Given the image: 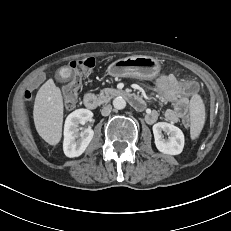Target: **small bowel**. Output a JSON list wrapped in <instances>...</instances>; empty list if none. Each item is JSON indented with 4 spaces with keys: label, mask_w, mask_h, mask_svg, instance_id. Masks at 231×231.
I'll return each mask as SVG.
<instances>
[{
    "label": "small bowel",
    "mask_w": 231,
    "mask_h": 231,
    "mask_svg": "<svg viewBox=\"0 0 231 231\" xmlns=\"http://www.w3.org/2000/svg\"><path fill=\"white\" fill-rule=\"evenodd\" d=\"M155 90L162 102L172 106L163 113L167 122L174 124L186 118L190 101L183 92L182 83L172 75H164L157 80ZM158 119L159 113L156 110L148 109L146 111L145 120L147 123L153 124Z\"/></svg>",
    "instance_id": "c3829d8e"
}]
</instances>
